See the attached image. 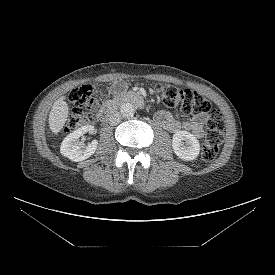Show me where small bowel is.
I'll return each mask as SVG.
<instances>
[{
	"label": "small bowel",
	"mask_w": 275,
	"mask_h": 275,
	"mask_svg": "<svg viewBox=\"0 0 275 275\" xmlns=\"http://www.w3.org/2000/svg\"><path fill=\"white\" fill-rule=\"evenodd\" d=\"M126 89V82L123 80L116 81L111 91L115 94L121 93ZM156 122L165 130L175 133L181 129L191 131L197 138H202L204 134V126L208 120L206 113L195 115L189 120L181 122L167 111H159L155 116Z\"/></svg>",
	"instance_id": "1"
}]
</instances>
